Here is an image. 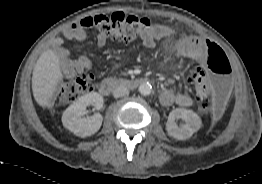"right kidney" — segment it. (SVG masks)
Listing matches in <instances>:
<instances>
[{
    "instance_id": "1",
    "label": "right kidney",
    "mask_w": 262,
    "mask_h": 184,
    "mask_svg": "<svg viewBox=\"0 0 262 184\" xmlns=\"http://www.w3.org/2000/svg\"><path fill=\"white\" fill-rule=\"evenodd\" d=\"M89 105L100 110L103 107V97L96 92L81 96L62 115L64 127L83 138L95 134L100 129L103 120L100 113L84 117L86 107Z\"/></svg>"
}]
</instances>
